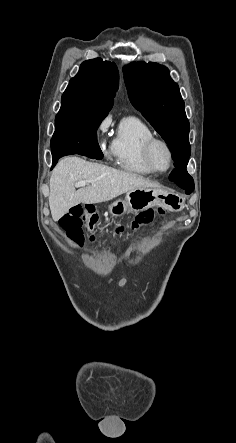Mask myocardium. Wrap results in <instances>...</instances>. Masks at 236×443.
I'll use <instances>...</instances> for the list:
<instances>
[{"instance_id":"f54148a6","label":"myocardium","mask_w":236,"mask_h":443,"mask_svg":"<svg viewBox=\"0 0 236 443\" xmlns=\"http://www.w3.org/2000/svg\"><path fill=\"white\" fill-rule=\"evenodd\" d=\"M156 145H162L167 150L168 155H169V165L164 170L158 169L154 163V160H153V150ZM143 156H144L145 163L147 164V166L150 168V170L153 173H158V174L166 173L172 168L173 163H174V153H173L172 147L170 146V144L167 141H165L164 139H161V138H157V137H152L146 141V143L144 144V147H143Z\"/></svg>"}]
</instances>
